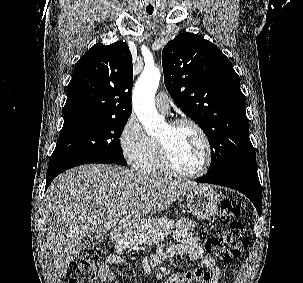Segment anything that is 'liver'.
Returning a JSON list of instances; mask_svg holds the SVG:
<instances>
[{"label":"liver","instance_id":"liver-1","mask_svg":"<svg viewBox=\"0 0 303 283\" xmlns=\"http://www.w3.org/2000/svg\"><path fill=\"white\" fill-rule=\"evenodd\" d=\"M194 182L151 177L134 170L103 164L72 168L49 186L43 205L46 238L58 276L92 233H107L130 207L141 218L167 210L192 188Z\"/></svg>","mask_w":303,"mask_h":283}]
</instances>
